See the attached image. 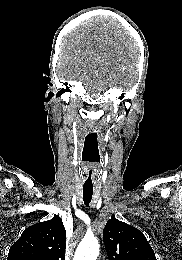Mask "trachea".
<instances>
[{"label":"trachea","mask_w":182,"mask_h":260,"mask_svg":"<svg viewBox=\"0 0 182 260\" xmlns=\"http://www.w3.org/2000/svg\"><path fill=\"white\" fill-rule=\"evenodd\" d=\"M93 195V187H83V200L86 206H89Z\"/></svg>","instance_id":"1"}]
</instances>
